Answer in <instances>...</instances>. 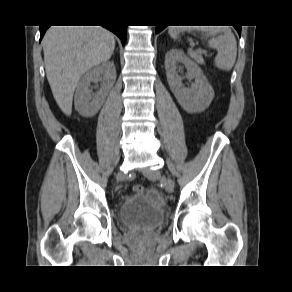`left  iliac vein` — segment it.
Here are the masks:
<instances>
[{
    "label": "left iliac vein",
    "instance_id": "left-iliac-vein-1",
    "mask_svg": "<svg viewBox=\"0 0 292 292\" xmlns=\"http://www.w3.org/2000/svg\"><path fill=\"white\" fill-rule=\"evenodd\" d=\"M143 174L150 180H156L160 178V172L158 170H143ZM165 190L168 193H172L174 190V181L166 177L163 179Z\"/></svg>",
    "mask_w": 292,
    "mask_h": 292
}]
</instances>
